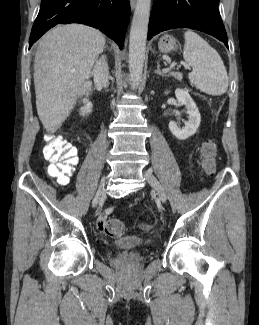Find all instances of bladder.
<instances>
[{
  "mask_svg": "<svg viewBox=\"0 0 259 325\" xmlns=\"http://www.w3.org/2000/svg\"><path fill=\"white\" fill-rule=\"evenodd\" d=\"M145 246L146 242L135 236L119 238L112 244L113 248L126 250L144 248Z\"/></svg>",
  "mask_w": 259,
  "mask_h": 325,
  "instance_id": "1",
  "label": "bladder"
}]
</instances>
